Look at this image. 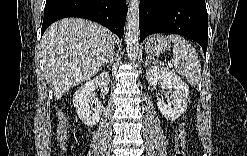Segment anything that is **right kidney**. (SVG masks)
Listing matches in <instances>:
<instances>
[{
    "instance_id": "ca27d5eb",
    "label": "right kidney",
    "mask_w": 247,
    "mask_h": 156,
    "mask_svg": "<svg viewBox=\"0 0 247 156\" xmlns=\"http://www.w3.org/2000/svg\"><path fill=\"white\" fill-rule=\"evenodd\" d=\"M110 77L107 72H102L94 79L89 80L73 95V105L76 109L79 119L87 126H93L100 120L103 105L100 101H96L93 91L96 86L106 88L109 84ZM94 104V105H93Z\"/></svg>"
}]
</instances>
